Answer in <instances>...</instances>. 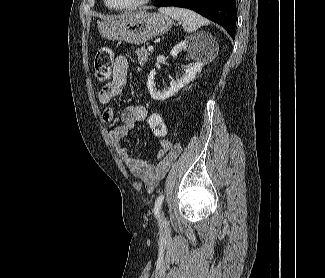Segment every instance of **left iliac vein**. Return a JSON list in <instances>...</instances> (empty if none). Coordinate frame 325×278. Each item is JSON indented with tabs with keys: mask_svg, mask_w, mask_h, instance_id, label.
I'll return each mask as SVG.
<instances>
[{
	"mask_svg": "<svg viewBox=\"0 0 325 278\" xmlns=\"http://www.w3.org/2000/svg\"><path fill=\"white\" fill-rule=\"evenodd\" d=\"M160 221L165 222V218H164L163 214H161V216H160Z\"/></svg>",
	"mask_w": 325,
	"mask_h": 278,
	"instance_id": "obj_1",
	"label": "left iliac vein"
}]
</instances>
